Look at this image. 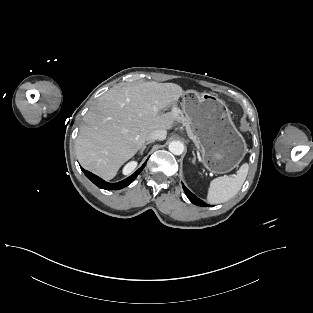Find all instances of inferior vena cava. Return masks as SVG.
<instances>
[{"instance_id":"obj_1","label":"inferior vena cava","mask_w":313,"mask_h":313,"mask_svg":"<svg viewBox=\"0 0 313 313\" xmlns=\"http://www.w3.org/2000/svg\"><path fill=\"white\" fill-rule=\"evenodd\" d=\"M166 136V130H155L147 136V141L164 140Z\"/></svg>"}]
</instances>
